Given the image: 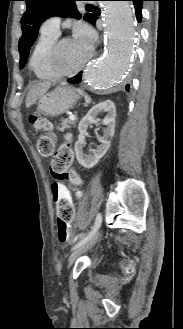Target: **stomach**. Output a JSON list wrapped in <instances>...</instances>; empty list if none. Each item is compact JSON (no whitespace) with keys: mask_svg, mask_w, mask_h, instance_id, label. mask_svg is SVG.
<instances>
[{"mask_svg":"<svg viewBox=\"0 0 183 329\" xmlns=\"http://www.w3.org/2000/svg\"><path fill=\"white\" fill-rule=\"evenodd\" d=\"M78 98L71 87L58 86L54 91L41 97L37 110L46 116H59L71 109Z\"/></svg>","mask_w":183,"mask_h":329,"instance_id":"obj_1","label":"stomach"}]
</instances>
